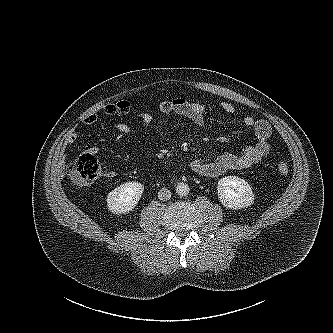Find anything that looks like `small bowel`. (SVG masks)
Returning <instances> with one entry per match:
<instances>
[{"instance_id":"c3829d8e","label":"small bowel","mask_w":333,"mask_h":333,"mask_svg":"<svg viewBox=\"0 0 333 333\" xmlns=\"http://www.w3.org/2000/svg\"><path fill=\"white\" fill-rule=\"evenodd\" d=\"M219 108L229 115L236 113V108L233 104L227 101L219 103ZM131 109V103L127 100H120L115 103L108 104L104 107L105 114L109 116H123ZM158 111L163 116L177 114L189 119L194 125H203L205 122L206 106L202 103L192 102L182 97L173 98L170 100L160 101ZM137 117L141 121L144 129L148 130L153 124V116L148 112H139ZM98 119L96 114H90L84 118L83 122L87 125L94 124ZM242 123L247 128L251 129L255 135L256 141L242 150L240 154L225 153L212 160L196 159L191 162V169L205 177H218L230 170H241L250 168L259 163L265 158L271 150L269 142L272 128L268 121L264 119L257 120L252 116H244ZM115 130L123 134H131L132 127L127 123H118L115 125ZM77 140V134L71 132L66 137V144H74ZM97 152V148L92 149ZM108 177H114L115 172L107 173Z\"/></svg>"}]
</instances>
